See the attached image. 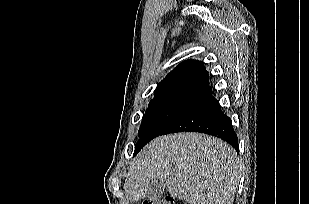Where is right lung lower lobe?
<instances>
[{
    "mask_svg": "<svg viewBox=\"0 0 309 204\" xmlns=\"http://www.w3.org/2000/svg\"><path fill=\"white\" fill-rule=\"evenodd\" d=\"M200 132L216 136L232 145L238 151V138L230 118L220 109L219 102L211 98L182 115L160 135L176 132Z\"/></svg>",
    "mask_w": 309,
    "mask_h": 204,
    "instance_id": "1",
    "label": "right lung lower lobe"
}]
</instances>
